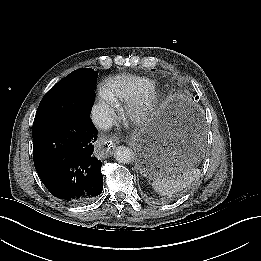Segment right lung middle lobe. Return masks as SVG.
Here are the masks:
<instances>
[{"label": "right lung middle lobe", "instance_id": "obj_1", "mask_svg": "<svg viewBox=\"0 0 261 261\" xmlns=\"http://www.w3.org/2000/svg\"><path fill=\"white\" fill-rule=\"evenodd\" d=\"M97 75L91 68H81L59 81L43 97L36 112L33 128L90 114L95 100Z\"/></svg>", "mask_w": 261, "mask_h": 261}]
</instances>
